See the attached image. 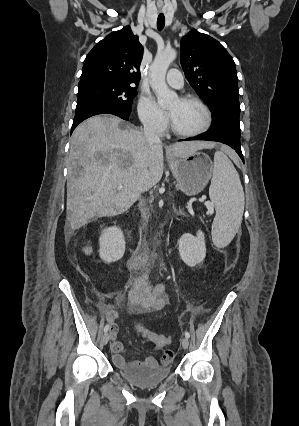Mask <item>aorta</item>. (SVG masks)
<instances>
[{
    "mask_svg": "<svg viewBox=\"0 0 299 426\" xmlns=\"http://www.w3.org/2000/svg\"><path fill=\"white\" fill-rule=\"evenodd\" d=\"M177 56L174 49H166L156 55L151 67L150 85L158 98L161 107H167L177 98V94L171 91L165 81L167 69Z\"/></svg>",
    "mask_w": 299,
    "mask_h": 426,
    "instance_id": "aorta-1",
    "label": "aorta"
}]
</instances>
